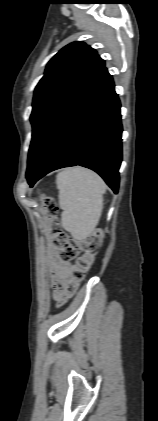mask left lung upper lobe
I'll use <instances>...</instances> for the list:
<instances>
[{"label":"left lung upper lobe","instance_id":"obj_1","mask_svg":"<svg viewBox=\"0 0 158 421\" xmlns=\"http://www.w3.org/2000/svg\"><path fill=\"white\" fill-rule=\"evenodd\" d=\"M104 60L82 41L68 44L47 64L35 88L28 163L46 129L75 93L102 67Z\"/></svg>","mask_w":158,"mask_h":421}]
</instances>
